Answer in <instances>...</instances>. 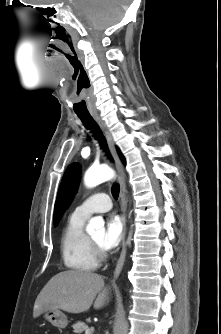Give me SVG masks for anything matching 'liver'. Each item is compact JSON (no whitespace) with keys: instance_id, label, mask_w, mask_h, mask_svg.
Here are the masks:
<instances>
[{"instance_id":"obj_1","label":"liver","mask_w":221,"mask_h":334,"mask_svg":"<svg viewBox=\"0 0 221 334\" xmlns=\"http://www.w3.org/2000/svg\"><path fill=\"white\" fill-rule=\"evenodd\" d=\"M109 287L101 275L68 270L53 276L41 290L34 304L33 317L50 309L82 313L92 305L102 308L109 301Z\"/></svg>"}]
</instances>
